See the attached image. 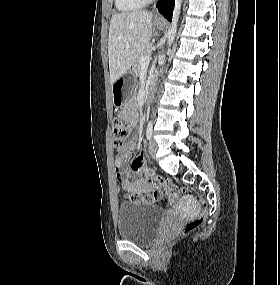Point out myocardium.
Here are the masks:
<instances>
[{
	"mask_svg": "<svg viewBox=\"0 0 280 285\" xmlns=\"http://www.w3.org/2000/svg\"><path fill=\"white\" fill-rule=\"evenodd\" d=\"M142 2L146 3V2H150L152 0H141Z\"/></svg>",
	"mask_w": 280,
	"mask_h": 285,
	"instance_id": "obj_1",
	"label": "myocardium"
}]
</instances>
